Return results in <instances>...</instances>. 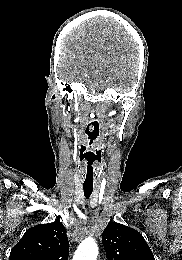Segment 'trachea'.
Masks as SVG:
<instances>
[{
    "label": "trachea",
    "instance_id": "trachea-1",
    "mask_svg": "<svg viewBox=\"0 0 182 260\" xmlns=\"http://www.w3.org/2000/svg\"><path fill=\"white\" fill-rule=\"evenodd\" d=\"M83 190H84V196L88 199L92 192H93V187H83Z\"/></svg>",
    "mask_w": 182,
    "mask_h": 260
}]
</instances>
